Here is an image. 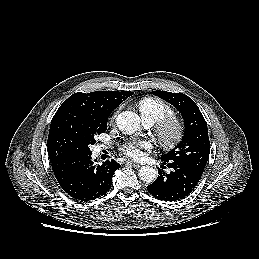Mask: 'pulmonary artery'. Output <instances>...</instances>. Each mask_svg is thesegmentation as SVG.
Returning <instances> with one entry per match:
<instances>
[{
  "label": "pulmonary artery",
  "mask_w": 259,
  "mask_h": 259,
  "mask_svg": "<svg viewBox=\"0 0 259 259\" xmlns=\"http://www.w3.org/2000/svg\"><path fill=\"white\" fill-rule=\"evenodd\" d=\"M143 122H144V125H145L146 127H151V126H153V122L150 121V120L143 119ZM102 148H106V146H102Z\"/></svg>",
  "instance_id": "pulmonary-artery-1"
}]
</instances>
